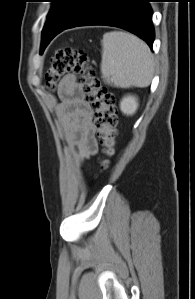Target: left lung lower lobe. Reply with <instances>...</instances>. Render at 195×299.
Here are the masks:
<instances>
[{
  "label": "left lung lower lobe",
  "instance_id": "0a47b994",
  "mask_svg": "<svg viewBox=\"0 0 195 299\" xmlns=\"http://www.w3.org/2000/svg\"><path fill=\"white\" fill-rule=\"evenodd\" d=\"M149 2L151 0H88L80 14L68 26L51 32L49 42L65 29L107 25L132 32L152 48L155 35Z\"/></svg>",
  "mask_w": 195,
  "mask_h": 299
}]
</instances>
